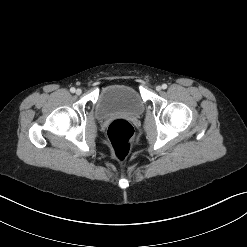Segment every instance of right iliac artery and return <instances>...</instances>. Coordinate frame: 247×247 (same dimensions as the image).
I'll return each mask as SVG.
<instances>
[{"label": "right iliac artery", "mask_w": 247, "mask_h": 247, "mask_svg": "<svg viewBox=\"0 0 247 247\" xmlns=\"http://www.w3.org/2000/svg\"><path fill=\"white\" fill-rule=\"evenodd\" d=\"M70 91H71L72 93H74V92H75V88L72 87V88L70 89Z\"/></svg>", "instance_id": "82829eb1"}]
</instances>
